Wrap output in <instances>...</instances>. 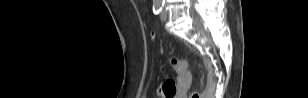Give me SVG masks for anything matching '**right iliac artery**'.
<instances>
[{"label": "right iliac artery", "instance_id": "obj_1", "mask_svg": "<svg viewBox=\"0 0 308 98\" xmlns=\"http://www.w3.org/2000/svg\"><path fill=\"white\" fill-rule=\"evenodd\" d=\"M162 6H163V4H161L160 2L154 3V5H153L154 14H159L162 10Z\"/></svg>", "mask_w": 308, "mask_h": 98}]
</instances>
